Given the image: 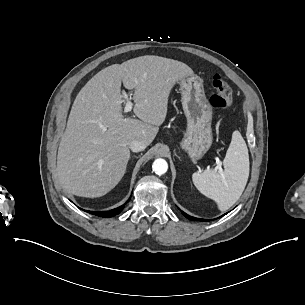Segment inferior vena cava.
I'll use <instances>...</instances> for the list:
<instances>
[{"label":"inferior vena cava","instance_id":"inferior-vena-cava-1","mask_svg":"<svg viewBox=\"0 0 305 305\" xmlns=\"http://www.w3.org/2000/svg\"><path fill=\"white\" fill-rule=\"evenodd\" d=\"M128 145L133 152H140L146 148V143L137 139L130 140Z\"/></svg>","mask_w":305,"mask_h":305}]
</instances>
